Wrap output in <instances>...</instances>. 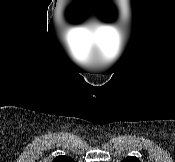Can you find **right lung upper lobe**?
<instances>
[{
  "mask_svg": "<svg viewBox=\"0 0 175 162\" xmlns=\"http://www.w3.org/2000/svg\"><path fill=\"white\" fill-rule=\"evenodd\" d=\"M53 162H75V161L72 160V159L69 158V157L60 155V156H57V157L53 160Z\"/></svg>",
  "mask_w": 175,
  "mask_h": 162,
  "instance_id": "1",
  "label": "right lung upper lobe"
}]
</instances>
